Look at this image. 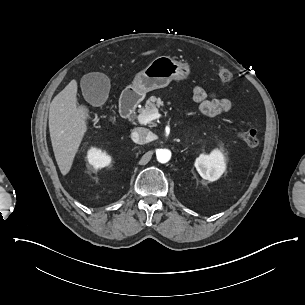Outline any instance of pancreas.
Returning <instances> with one entry per match:
<instances>
[{"mask_svg":"<svg viewBox=\"0 0 305 305\" xmlns=\"http://www.w3.org/2000/svg\"><path fill=\"white\" fill-rule=\"evenodd\" d=\"M167 104L170 105L171 102L167 101ZM164 105V101L156 96H152L146 103V107L142 108L139 112H153L156 108H161Z\"/></svg>","mask_w":305,"mask_h":305,"instance_id":"cf45deb5","label":"pancreas"}]
</instances>
